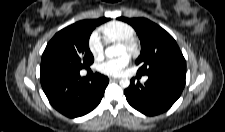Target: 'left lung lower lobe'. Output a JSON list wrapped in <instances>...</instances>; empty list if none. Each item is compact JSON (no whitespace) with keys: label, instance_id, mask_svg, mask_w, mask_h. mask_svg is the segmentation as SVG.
Listing matches in <instances>:
<instances>
[{"label":"left lung lower lobe","instance_id":"left-lung-lower-lobe-1","mask_svg":"<svg viewBox=\"0 0 225 132\" xmlns=\"http://www.w3.org/2000/svg\"><path fill=\"white\" fill-rule=\"evenodd\" d=\"M186 73H152L144 85L130 81L124 91L128 103L139 112L154 116L168 110L180 97Z\"/></svg>","mask_w":225,"mask_h":132}]
</instances>
